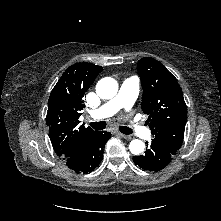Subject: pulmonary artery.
Segmentation results:
<instances>
[{
    "mask_svg": "<svg viewBox=\"0 0 221 221\" xmlns=\"http://www.w3.org/2000/svg\"><path fill=\"white\" fill-rule=\"evenodd\" d=\"M138 93L139 79L137 77L126 79L122 83L118 94L99 109L93 111L91 117L94 119H101L112 116L122 108L129 110L133 106ZM131 129L141 137L148 134V130L137 122H132Z\"/></svg>",
    "mask_w": 221,
    "mask_h": 221,
    "instance_id": "obj_1",
    "label": "pulmonary artery"
}]
</instances>
